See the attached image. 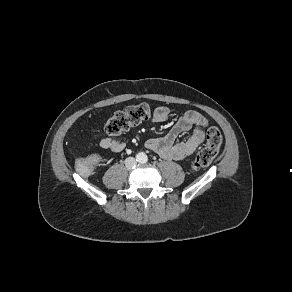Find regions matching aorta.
Returning a JSON list of instances; mask_svg holds the SVG:
<instances>
[{
	"label": "aorta",
	"instance_id": "1",
	"mask_svg": "<svg viewBox=\"0 0 292 292\" xmlns=\"http://www.w3.org/2000/svg\"><path fill=\"white\" fill-rule=\"evenodd\" d=\"M138 156H139L140 160H142L146 157L145 153H139Z\"/></svg>",
	"mask_w": 292,
	"mask_h": 292
}]
</instances>
